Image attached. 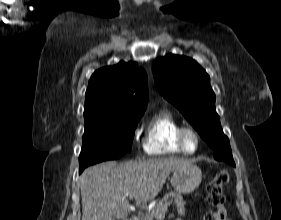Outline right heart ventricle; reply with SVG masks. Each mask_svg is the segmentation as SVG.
I'll use <instances>...</instances> for the list:
<instances>
[{"mask_svg": "<svg viewBox=\"0 0 281 220\" xmlns=\"http://www.w3.org/2000/svg\"><path fill=\"white\" fill-rule=\"evenodd\" d=\"M181 123L168 110H160L149 120L143 140L148 155L185 154L179 146L177 134Z\"/></svg>", "mask_w": 281, "mask_h": 220, "instance_id": "obj_1", "label": "right heart ventricle"}]
</instances>
